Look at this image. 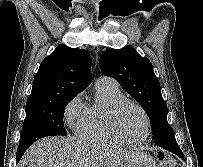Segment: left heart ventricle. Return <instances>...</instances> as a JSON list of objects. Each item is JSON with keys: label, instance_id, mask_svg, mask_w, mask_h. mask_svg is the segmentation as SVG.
<instances>
[{"label": "left heart ventricle", "instance_id": "b2bd125f", "mask_svg": "<svg viewBox=\"0 0 203 167\" xmlns=\"http://www.w3.org/2000/svg\"><path fill=\"white\" fill-rule=\"evenodd\" d=\"M117 128L126 140L138 141L144 135V118L137 108L127 106L118 117Z\"/></svg>", "mask_w": 203, "mask_h": 167}]
</instances>
